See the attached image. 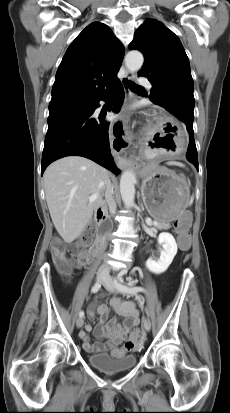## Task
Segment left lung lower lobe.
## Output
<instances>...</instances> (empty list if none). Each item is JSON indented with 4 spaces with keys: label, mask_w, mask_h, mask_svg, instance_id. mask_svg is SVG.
<instances>
[{
    "label": "left lung lower lobe",
    "mask_w": 230,
    "mask_h": 413,
    "mask_svg": "<svg viewBox=\"0 0 230 413\" xmlns=\"http://www.w3.org/2000/svg\"><path fill=\"white\" fill-rule=\"evenodd\" d=\"M187 131L189 133V145H188V149L186 153V158L198 170V157H197V149H196V145L194 141L193 126L187 125Z\"/></svg>",
    "instance_id": "obj_1"
}]
</instances>
